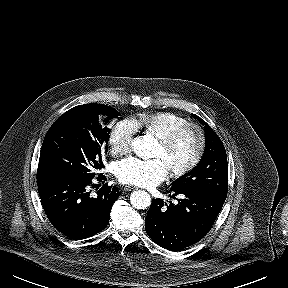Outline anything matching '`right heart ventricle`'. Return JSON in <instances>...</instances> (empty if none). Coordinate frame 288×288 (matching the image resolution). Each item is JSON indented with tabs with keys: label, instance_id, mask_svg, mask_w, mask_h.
<instances>
[{
	"label": "right heart ventricle",
	"instance_id": "obj_1",
	"mask_svg": "<svg viewBox=\"0 0 288 288\" xmlns=\"http://www.w3.org/2000/svg\"><path fill=\"white\" fill-rule=\"evenodd\" d=\"M132 121L136 128H142L156 138H160L173 128L188 122L185 117L173 112L142 114Z\"/></svg>",
	"mask_w": 288,
	"mask_h": 288
}]
</instances>
